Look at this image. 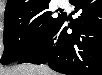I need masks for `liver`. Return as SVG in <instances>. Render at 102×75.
Masks as SVG:
<instances>
[{
	"label": "liver",
	"instance_id": "6515ba94",
	"mask_svg": "<svg viewBox=\"0 0 102 75\" xmlns=\"http://www.w3.org/2000/svg\"><path fill=\"white\" fill-rule=\"evenodd\" d=\"M1 75H58L47 65L22 64L1 71Z\"/></svg>",
	"mask_w": 102,
	"mask_h": 75
}]
</instances>
